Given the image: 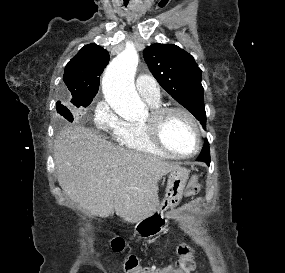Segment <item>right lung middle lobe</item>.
Returning a JSON list of instances; mask_svg holds the SVG:
<instances>
[{"instance_id":"1","label":"right lung middle lobe","mask_w":285,"mask_h":273,"mask_svg":"<svg viewBox=\"0 0 285 273\" xmlns=\"http://www.w3.org/2000/svg\"><path fill=\"white\" fill-rule=\"evenodd\" d=\"M92 102V100H88V101H82V102H72L75 106L80 107H87L90 103ZM57 112L62 115L65 119H67L69 122L73 121V116L71 114V112L66 109L60 102H57Z\"/></svg>"}]
</instances>
